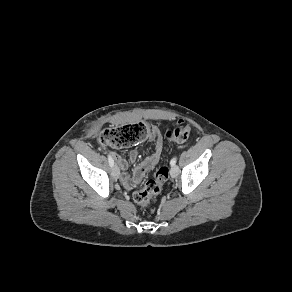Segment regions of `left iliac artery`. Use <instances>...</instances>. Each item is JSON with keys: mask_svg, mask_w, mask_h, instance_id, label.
I'll return each mask as SVG.
<instances>
[{"mask_svg": "<svg viewBox=\"0 0 292 292\" xmlns=\"http://www.w3.org/2000/svg\"><path fill=\"white\" fill-rule=\"evenodd\" d=\"M176 161H177V158L176 157H173L170 161V165L171 166H175L176 165Z\"/></svg>", "mask_w": 292, "mask_h": 292, "instance_id": "1", "label": "left iliac artery"}]
</instances>
